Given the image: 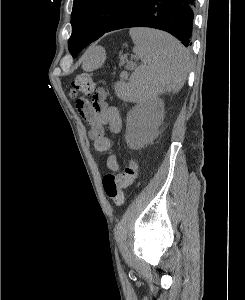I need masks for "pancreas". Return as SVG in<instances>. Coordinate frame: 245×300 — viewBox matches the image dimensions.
<instances>
[{"mask_svg": "<svg viewBox=\"0 0 245 300\" xmlns=\"http://www.w3.org/2000/svg\"><path fill=\"white\" fill-rule=\"evenodd\" d=\"M121 78H122V79H127V78H128V76H127V74H126V73H123V74L121 75Z\"/></svg>", "mask_w": 245, "mask_h": 300, "instance_id": "obj_1", "label": "pancreas"}]
</instances>
